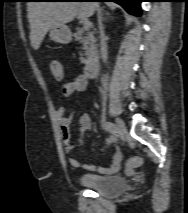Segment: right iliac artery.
<instances>
[{
    "mask_svg": "<svg viewBox=\"0 0 188 213\" xmlns=\"http://www.w3.org/2000/svg\"><path fill=\"white\" fill-rule=\"evenodd\" d=\"M104 128L113 135H116L118 133L116 125L111 122H105Z\"/></svg>",
    "mask_w": 188,
    "mask_h": 213,
    "instance_id": "obj_1",
    "label": "right iliac artery"
}]
</instances>
